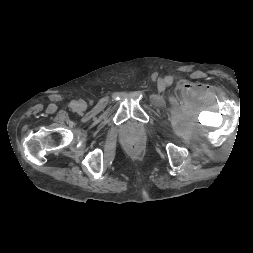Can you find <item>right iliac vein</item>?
<instances>
[{
    "label": "right iliac vein",
    "mask_w": 253,
    "mask_h": 253,
    "mask_svg": "<svg viewBox=\"0 0 253 253\" xmlns=\"http://www.w3.org/2000/svg\"><path fill=\"white\" fill-rule=\"evenodd\" d=\"M79 108H80L81 110H84V109L86 108V104H85L84 102H80V103H79Z\"/></svg>",
    "instance_id": "obj_1"
}]
</instances>
